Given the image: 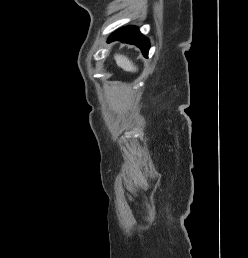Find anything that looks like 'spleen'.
I'll return each instance as SVG.
<instances>
[{
	"label": "spleen",
	"mask_w": 248,
	"mask_h": 258,
	"mask_svg": "<svg viewBox=\"0 0 248 258\" xmlns=\"http://www.w3.org/2000/svg\"><path fill=\"white\" fill-rule=\"evenodd\" d=\"M115 61L119 67L128 72H136L137 67L133 65L132 61H130L124 55H115Z\"/></svg>",
	"instance_id": "3e777b00"
}]
</instances>
